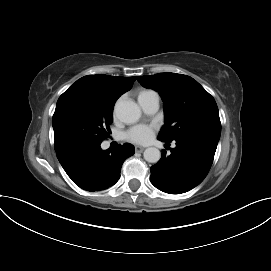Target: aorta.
<instances>
[{"label": "aorta", "instance_id": "1", "mask_svg": "<svg viewBox=\"0 0 271 271\" xmlns=\"http://www.w3.org/2000/svg\"><path fill=\"white\" fill-rule=\"evenodd\" d=\"M116 117L123 123L133 124L141 117L139 106L131 100H118L115 109ZM144 159L149 163H157L161 158L159 149L149 147L143 153Z\"/></svg>", "mask_w": 271, "mask_h": 271}]
</instances>
